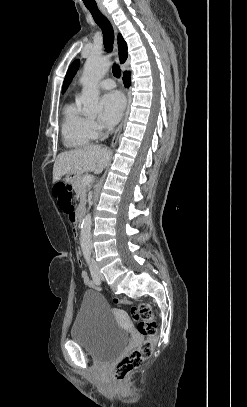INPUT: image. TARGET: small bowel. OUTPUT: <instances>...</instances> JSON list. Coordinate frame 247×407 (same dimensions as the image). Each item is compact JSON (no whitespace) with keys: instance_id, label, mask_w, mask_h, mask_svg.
<instances>
[{"instance_id":"c3829d8e","label":"small bowel","mask_w":247,"mask_h":407,"mask_svg":"<svg viewBox=\"0 0 247 407\" xmlns=\"http://www.w3.org/2000/svg\"><path fill=\"white\" fill-rule=\"evenodd\" d=\"M67 217H68V219H69L70 222H72V223H75V222H76V215H75V212H73L71 215H69V216H67ZM75 235H77V232H76V231H75ZM81 277H82V279H83V281H84V284H85L86 286L92 287V286L94 285V284H93V281L89 278V276H88V274H87L86 272H82Z\"/></svg>"}]
</instances>
